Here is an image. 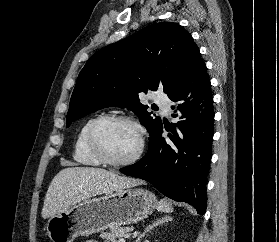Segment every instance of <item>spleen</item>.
Segmentation results:
<instances>
[{
	"instance_id": "spleen-1",
	"label": "spleen",
	"mask_w": 279,
	"mask_h": 242,
	"mask_svg": "<svg viewBox=\"0 0 279 242\" xmlns=\"http://www.w3.org/2000/svg\"><path fill=\"white\" fill-rule=\"evenodd\" d=\"M158 209L162 212H172L173 208L171 207V205L168 203L167 200L163 199L160 201L159 205H158Z\"/></svg>"
}]
</instances>
